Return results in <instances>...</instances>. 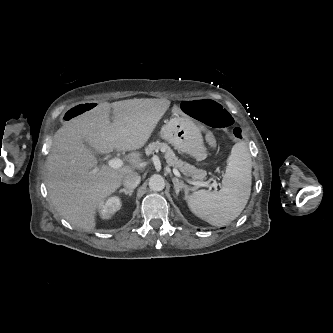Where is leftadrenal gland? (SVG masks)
I'll return each mask as SVG.
<instances>
[{
  "mask_svg": "<svg viewBox=\"0 0 333 333\" xmlns=\"http://www.w3.org/2000/svg\"><path fill=\"white\" fill-rule=\"evenodd\" d=\"M172 182H173V185H174L175 192H176V195H177V196H178L179 192L182 191V190H184L185 195L188 194V192H189V188H188L187 185H185V184L183 183V181H179L178 178L174 177V178L172 179Z\"/></svg>",
  "mask_w": 333,
  "mask_h": 333,
  "instance_id": "obj_1",
  "label": "left adrenal gland"
}]
</instances>
